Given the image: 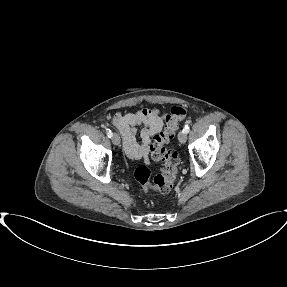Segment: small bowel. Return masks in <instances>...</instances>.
Listing matches in <instances>:
<instances>
[{
    "mask_svg": "<svg viewBox=\"0 0 287 287\" xmlns=\"http://www.w3.org/2000/svg\"><path fill=\"white\" fill-rule=\"evenodd\" d=\"M165 116L157 109L143 108L134 112L118 113L113 117L112 124L122 135L126 152L131 159L148 163L153 136L162 129Z\"/></svg>",
    "mask_w": 287,
    "mask_h": 287,
    "instance_id": "obj_1",
    "label": "small bowel"
}]
</instances>
